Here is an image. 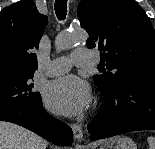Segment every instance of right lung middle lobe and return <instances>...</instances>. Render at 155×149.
I'll return each instance as SVG.
<instances>
[{"instance_id": "1", "label": "right lung middle lobe", "mask_w": 155, "mask_h": 149, "mask_svg": "<svg viewBox=\"0 0 155 149\" xmlns=\"http://www.w3.org/2000/svg\"><path fill=\"white\" fill-rule=\"evenodd\" d=\"M34 72L0 68V110L27 113L41 100L31 82Z\"/></svg>"}]
</instances>
